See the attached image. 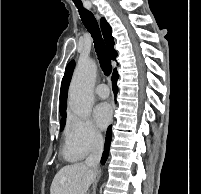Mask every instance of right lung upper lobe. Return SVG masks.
Wrapping results in <instances>:
<instances>
[{
  "label": "right lung upper lobe",
  "instance_id": "cb5924a9",
  "mask_svg": "<svg viewBox=\"0 0 201 194\" xmlns=\"http://www.w3.org/2000/svg\"><path fill=\"white\" fill-rule=\"evenodd\" d=\"M101 29H102V33L110 54L111 59L115 60L116 56H117V52L114 50L113 46H114V38L112 37V30L110 25L107 23V21L105 20V18H101ZM75 66V62L71 61L65 70V75L62 79V84H61V91H60V114L64 117H66L65 115V111L67 108V92H68V86L71 80V76H72V72Z\"/></svg>",
  "mask_w": 201,
  "mask_h": 194
}]
</instances>
